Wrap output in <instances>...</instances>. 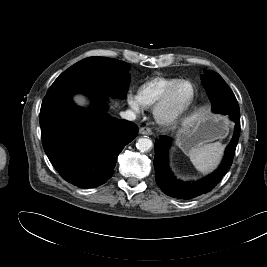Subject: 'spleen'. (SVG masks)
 Masks as SVG:
<instances>
[{
    "label": "spleen",
    "mask_w": 267,
    "mask_h": 267,
    "mask_svg": "<svg viewBox=\"0 0 267 267\" xmlns=\"http://www.w3.org/2000/svg\"><path fill=\"white\" fill-rule=\"evenodd\" d=\"M223 151V144L215 142L192 149L188 156L198 171L207 173L217 167Z\"/></svg>",
    "instance_id": "spleen-1"
}]
</instances>
